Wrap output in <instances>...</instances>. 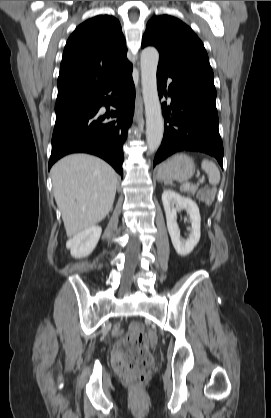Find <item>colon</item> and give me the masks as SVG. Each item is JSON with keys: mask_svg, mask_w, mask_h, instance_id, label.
I'll list each match as a JSON object with an SVG mask.
<instances>
[{"mask_svg": "<svg viewBox=\"0 0 271 418\" xmlns=\"http://www.w3.org/2000/svg\"><path fill=\"white\" fill-rule=\"evenodd\" d=\"M213 191L204 188L199 199L206 205L213 200ZM112 365L117 374L126 382L141 384L153 367V358L148 350L147 331L135 329L114 348Z\"/></svg>", "mask_w": 271, "mask_h": 418, "instance_id": "colon-1", "label": "colon"}]
</instances>
